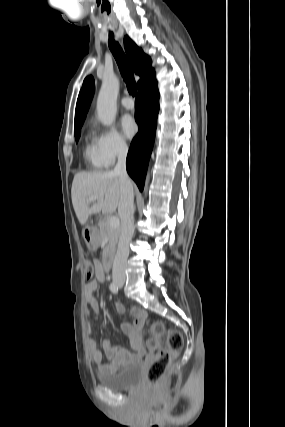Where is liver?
I'll return each mask as SVG.
<instances>
[{
	"instance_id": "1",
	"label": "liver",
	"mask_w": 285,
	"mask_h": 427,
	"mask_svg": "<svg viewBox=\"0 0 285 427\" xmlns=\"http://www.w3.org/2000/svg\"><path fill=\"white\" fill-rule=\"evenodd\" d=\"M91 196H97L99 200L89 205L87 199ZM120 197V179L113 171L79 172L74 176L71 198L81 225H85L92 214L115 212Z\"/></svg>"
}]
</instances>
